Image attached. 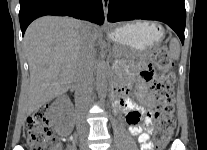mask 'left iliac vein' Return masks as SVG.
I'll return each mask as SVG.
<instances>
[{
    "label": "left iliac vein",
    "instance_id": "1",
    "mask_svg": "<svg viewBox=\"0 0 207 150\" xmlns=\"http://www.w3.org/2000/svg\"><path fill=\"white\" fill-rule=\"evenodd\" d=\"M109 150H114V148H113V147H111Z\"/></svg>",
    "mask_w": 207,
    "mask_h": 150
}]
</instances>
